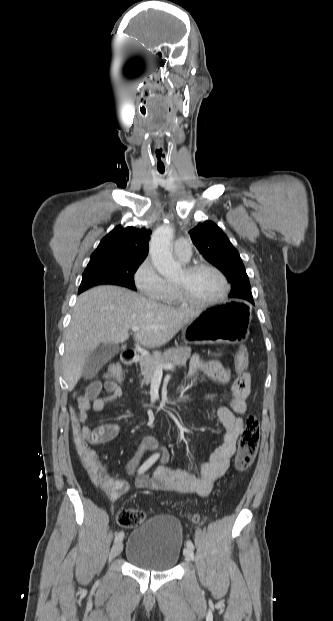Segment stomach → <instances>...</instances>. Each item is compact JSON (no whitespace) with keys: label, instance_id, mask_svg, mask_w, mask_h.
Masks as SVG:
<instances>
[{"label":"stomach","instance_id":"1","mask_svg":"<svg viewBox=\"0 0 333 621\" xmlns=\"http://www.w3.org/2000/svg\"><path fill=\"white\" fill-rule=\"evenodd\" d=\"M251 308L235 302L211 305L186 325L182 337L186 342L205 343L220 338L230 346H240L247 329Z\"/></svg>","mask_w":333,"mask_h":621}]
</instances>
